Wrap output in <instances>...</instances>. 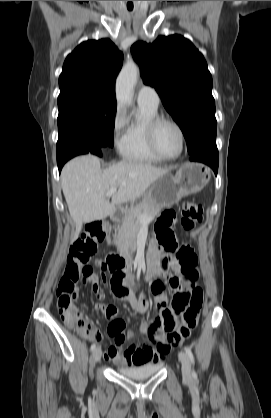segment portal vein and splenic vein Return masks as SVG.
<instances>
[{"label":"portal vein and splenic vein","instance_id":"portal-vein-and-splenic-vein-1","mask_svg":"<svg viewBox=\"0 0 271 418\" xmlns=\"http://www.w3.org/2000/svg\"><path fill=\"white\" fill-rule=\"evenodd\" d=\"M117 192V188H111V189H109L108 191H107V193H106V196L107 197H109V196H111V195H113L114 193H116ZM140 220L143 222V223H148V222H150L151 221V219H149V218H147L146 216H140Z\"/></svg>","mask_w":271,"mask_h":418}]
</instances>
